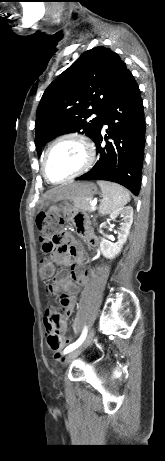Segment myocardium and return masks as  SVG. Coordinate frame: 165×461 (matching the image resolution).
Segmentation results:
<instances>
[{"label":"myocardium","mask_w":165,"mask_h":461,"mask_svg":"<svg viewBox=\"0 0 165 461\" xmlns=\"http://www.w3.org/2000/svg\"><path fill=\"white\" fill-rule=\"evenodd\" d=\"M69 140L70 141H76L81 145V147H82V149L84 151V154H85V161H84L83 165L78 170H76L75 172H73L69 176H67V177H65V178H63L61 180L54 181L49 177V175L47 173V170H46L47 157H48L50 151L52 150V148L55 145H57L60 142L69 141ZM94 161H95V149H94V145L89 140V138L86 137L85 135L81 134V133L69 132V133H65V134H62V135L58 136L57 138H55L47 146L46 150L44 151L43 158H42V172H43V175H44L45 179L48 182L53 183V184H60V183L70 181V180H72L74 178H77V177L81 176L82 174H84L85 172H87L92 167V165L94 164Z\"/></svg>","instance_id":"myocardium-1"}]
</instances>
